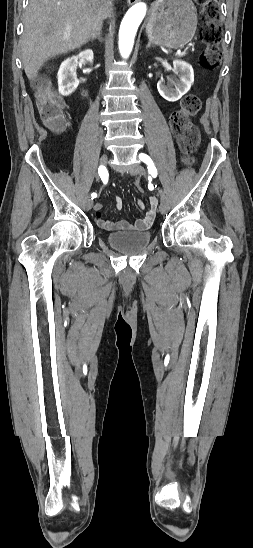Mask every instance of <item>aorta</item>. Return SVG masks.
I'll return each mask as SVG.
<instances>
[{
	"mask_svg": "<svg viewBox=\"0 0 253 548\" xmlns=\"http://www.w3.org/2000/svg\"><path fill=\"white\" fill-rule=\"evenodd\" d=\"M147 6L144 2L134 4L125 14L119 29V51L123 58L131 54L135 35L144 19Z\"/></svg>",
	"mask_w": 253,
	"mask_h": 548,
	"instance_id": "1",
	"label": "aorta"
}]
</instances>
